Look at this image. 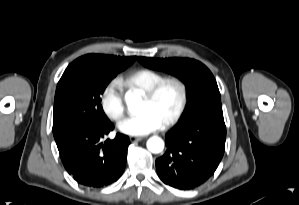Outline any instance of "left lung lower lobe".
Here are the masks:
<instances>
[{"mask_svg":"<svg viewBox=\"0 0 299 205\" xmlns=\"http://www.w3.org/2000/svg\"><path fill=\"white\" fill-rule=\"evenodd\" d=\"M166 137L168 149L156 160L159 178L180 190L194 189L213 175L223 157L226 140L223 112L178 121Z\"/></svg>","mask_w":299,"mask_h":205,"instance_id":"left-lung-lower-lobe-1","label":"left lung lower lobe"}]
</instances>
